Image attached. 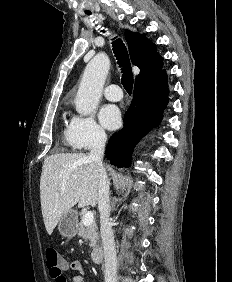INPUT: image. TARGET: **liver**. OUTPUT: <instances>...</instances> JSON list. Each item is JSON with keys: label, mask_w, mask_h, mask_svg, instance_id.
I'll return each instance as SVG.
<instances>
[{"label": "liver", "mask_w": 232, "mask_h": 282, "mask_svg": "<svg viewBox=\"0 0 232 282\" xmlns=\"http://www.w3.org/2000/svg\"><path fill=\"white\" fill-rule=\"evenodd\" d=\"M100 172L83 153H60L44 160L40 199L46 231L52 234L61 216L78 204L95 207Z\"/></svg>", "instance_id": "obj_1"}]
</instances>
